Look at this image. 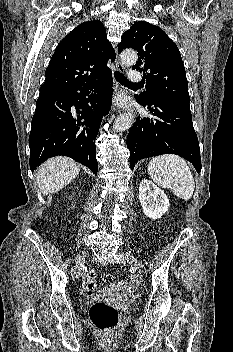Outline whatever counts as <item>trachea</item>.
<instances>
[{
	"label": "trachea",
	"instance_id": "trachea-1",
	"mask_svg": "<svg viewBox=\"0 0 233 352\" xmlns=\"http://www.w3.org/2000/svg\"><path fill=\"white\" fill-rule=\"evenodd\" d=\"M114 77L115 79L121 83V84H127V85H139L138 83H132L130 82L123 74H121L118 71L114 72Z\"/></svg>",
	"mask_w": 233,
	"mask_h": 352
}]
</instances>
